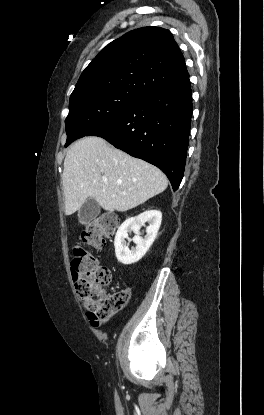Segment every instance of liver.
Masks as SVG:
<instances>
[{"label":"liver","instance_id":"6515ba94","mask_svg":"<svg viewBox=\"0 0 264 415\" xmlns=\"http://www.w3.org/2000/svg\"><path fill=\"white\" fill-rule=\"evenodd\" d=\"M62 182L67 216L88 198L106 211L125 212L168 186L160 169L95 136L84 137L68 149Z\"/></svg>","mask_w":264,"mask_h":415}]
</instances>
